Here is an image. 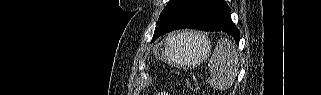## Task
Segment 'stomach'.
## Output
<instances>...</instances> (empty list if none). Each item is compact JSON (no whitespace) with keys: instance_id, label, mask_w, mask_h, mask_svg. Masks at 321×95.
I'll use <instances>...</instances> for the list:
<instances>
[{"instance_id":"1","label":"stomach","mask_w":321,"mask_h":95,"mask_svg":"<svg viewBox=\"0 0 321 95\" xmlns=\"http://www.w3.org/2000/svg\"><path fill=\"white\" fill-rule=\"evenodd\" d=\"M156 55L176 66H194L203 61L211 51L210 40L196 32H180L169 35L162 46L156 47Z\"/></svg>"}]
</instances>
